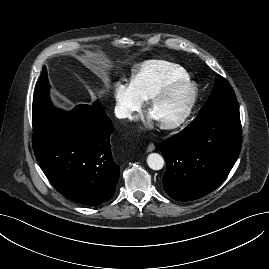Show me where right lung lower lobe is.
I'll use <instances>...</instances> for the list:
<instances>
[{
	"instance_id": "1",
	"label": "right lung lower lobe",
	"mask_w": 269,
	"mask_h": 269,
	"mask_svg": "<svg viewBox=\"0 0 269 269\" xmlns=\"http://www.w3.org/2000/svg\"><path fill=\"white\" fill-rule=\"evenodd\" d=\"M113 130L105 112L83 104L33 134L36 159L59 193L89 206L114 196L120 167L111 153Z\"/></svg>"
}]
</instances>
